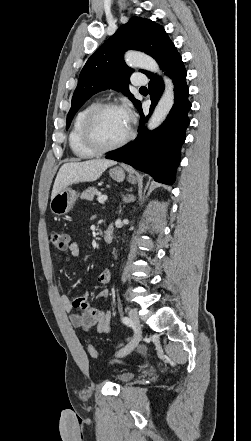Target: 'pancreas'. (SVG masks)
<instances>
[{"label":"pancreas","mask_w":251,"mask_h":441,"mask_svg":"<svg viewBox=\"0 0 251 441\" xmlns=\"http://www.w3.org/2000/svg\"><path fill=\"white\" fill-rule=\"evenodd\" d=\"M97 194H99V191L96 187H89L82 192L80 198L84 200L92 201L94 199V196Z\"/></svg>","instance_id":"cf45deb5"}]
</instances>
